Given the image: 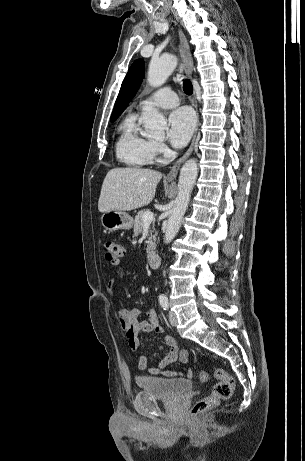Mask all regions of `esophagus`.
<instances>
[{
  "label": "esophagus",
  "instance_id": "obj_1",
  "mask_svg": "<svg viewBox=\"0 0 305 461\" xmlns=\"http://www.w3.org/2000/svg\"><path fill=\"white\" fill-rule=\"evenodd\" d=\"M178 33H179V42H180L179 50H180V56H181V59H182V67L184 68L187 76L192 79V75H193V59H192V56H191V52H190V49H189L187 38H186L185 34L183 33V31L181 29H179ZM193 101L195 103V108L197 109V104H196V101H195V91H194ZM197 117L199 119L198 112H197ZM196 136H197V128L195 129V132H194L190 147L188 148L186 153L182 157H180L173 164V166L171 167L169 173L165 177L166 180L173 181V180L176 179L182 163L191 155V153L193 151Z\"/></svg>",
  "mask_w": 305,
  "mask_h": 461
}]
</instances>
